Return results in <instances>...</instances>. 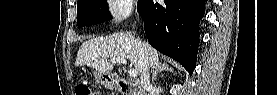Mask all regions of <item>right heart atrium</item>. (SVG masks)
<instances>
[{"label":"right heart atrium","instance_id":"right-heart-atrium-1","mask_svg":"<svg viewBox=\"0 0 277 95\" xmlns=\"http://www.w3.org/2000/svg\"><path fill=\"white\" fill-rule=\"evenodd\" d=\"M136 1L134 0H111L109 6V15L114 22H119L127 18L130 14Z\"/></svg>","mask_w":277,"mask_h":95}]
</instances>
